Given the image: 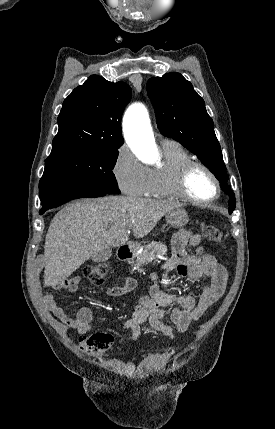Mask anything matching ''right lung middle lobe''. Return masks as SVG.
Wrapping results in <instances>:
<instances>
[{
  "label": "right lung middle lobe",
  "instance_id": "1",
  "mask_svg": "<svg viewBox=\"0 0 275 429\" xmlns=\"http://www.w3.org/2000/svg\"><path fill=\"white\" fill-rule=\"evenodd\" d=\"M117 156L118 148L52 151L39 182L40 200L75 190L119 194L112 172Z\"/></svg>",
  "mask_w": 275,
  "mask_h": 429
}]
</instances>
